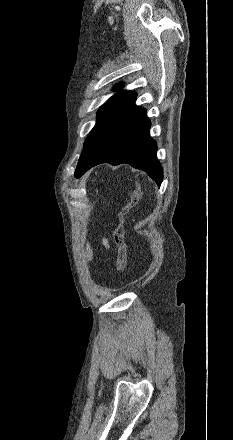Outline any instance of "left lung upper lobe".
I'll return each instance as SVG.
<instances>
[{
    "label": "left lung upper lobe",
    "instance_id": "5c2ea615",
    "mask_svg": "<svg viewBox=\"0 0 233 440\" xmlns=\"http://www.w3.org/2000/svg\"><path fill=\"white\" fill-rule=\"evenodd\" d=\"M121 86V84L116 85L115 90H119V92L108 99L98 110L97 122L84 142V152L79 158L78 165L84 161L107 126L136 98L134 92L120 91Z\"/></svg>",
    "mask_w": 233,
    "mask_h": 440
}]
</instances>
